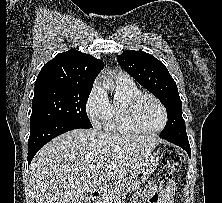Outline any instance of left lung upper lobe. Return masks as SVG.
<instances>
[{"mask_svg": "<svg viewBox=\"0 0 222 203\" xmlns=\"http://www.w3.org/2000/svg\"><path fill=\"white\" fill-rule=\"evenodd\" d=\"M117 61L166 107L168 123L160 135L187 137L177 85L166 66L152 55L134 50H126L117 57Z\"/></svg>", "mask_w": 222, "mask_h": 203, "instance_id": "obj_1", "label": "left lung upper lobe"}]
</instances>
